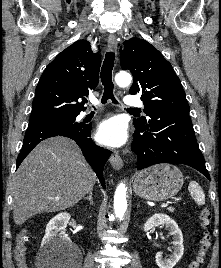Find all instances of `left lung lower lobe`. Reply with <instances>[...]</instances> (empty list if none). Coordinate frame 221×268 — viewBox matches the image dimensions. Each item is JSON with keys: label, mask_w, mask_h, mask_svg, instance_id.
Listing matches in <instances>:
<instances>
[{"label": "left lung lower lobe", "mask_w": 221, "mask_h": 268, "mask_svg": "<svg viewBox=\"0 0 221 268\" xmlns=\"http://www.w3.org/2000/svg\"><path fill=\"white\" fill-rule=\"evenodd\" d=\"M144 124H134L131 149L137 155V170L159 163L186 164L209 180L189 114L150 112Z\"/></svg>", "instance_id": "left-lung-lower-lobe-1"}]
</instances>
